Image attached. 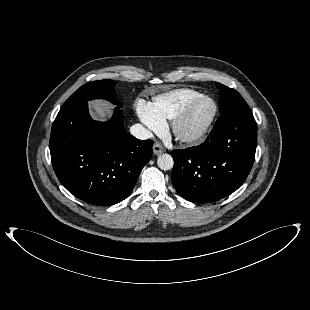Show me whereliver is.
Masks as SVG:
<instances>
[{
  "mask_svg": "<svg viewBox=\"0 0 310 310\" xmlns=\"http://www.w3.org/2000/svg\"><path fill=\"white\" fill-rule=\"evenodd\" d=\"M92 107L97 119L104 120L108 116L107 108L103 104L99 102H93Z\"/></svg>",
  "mask_w": 310,
  "mask_h": 310,
  "instance_id": "1",
  "label": "liver"
}]
</instances>
